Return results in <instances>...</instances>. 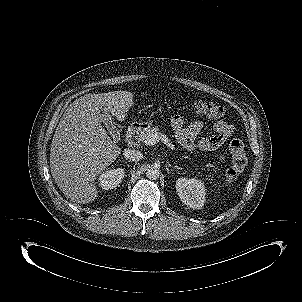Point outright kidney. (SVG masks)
<instances>
[{"label": "right kidney", "mask_w": 302, "mask_h": 302, "mask_svg": "<svg viewBox=\"0 0 302 302\" xmlns=\"http://www.w3.org/2000/svg\"><path fill=\"white\" fill-rule=\"evenodd\" d=\"M124 178V169L118 168L101 174L99 185L104 190L116 188Z\"/></svg>", "instance_id": "obj_1"}]
</instances>
